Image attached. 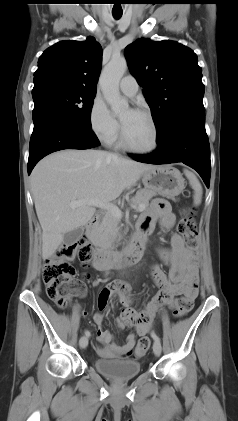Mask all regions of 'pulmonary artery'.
I'll use <instances>...</instances> for the list:
<instances>
[{
  "mask_svg": "<svg viewBox=\"0 0 238 421\" xmlns=\"http://www.w3.org/2000/svg\"><path fill=\"white\" fill-rule=\"evenodd\" d=\"M119 87L125 95L130 97L134 96L139 89L136 79L131 75L123 77L120 81Z\"/></svg>",
  "mask_w": 238,
  "mask_h": 421,
  "instance_id": "pulmonary-artery-1",
  "label": "pulmonary artery"
}]
</instances>
